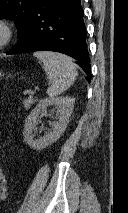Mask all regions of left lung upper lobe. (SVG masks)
Wrapping results in <instances>:
<instances>
[{
  "mask_svg": "<svg viewBox=\"0 0 128 213\" xmlns=\"http://www.w3.org/2000/svg\"><path fill=\"white\" fill-rule=\"evenodd\" d=\"M38 0H0V19H11L18 28V37L27 25Z\"/></svg>",
  "mask_w": 128,
  "mask_h": 213,
  "instance_id": "obj_1",
  "label": "left lung upper lobe"
}]
</instances>
